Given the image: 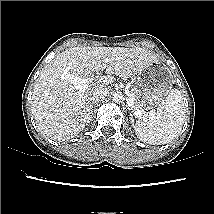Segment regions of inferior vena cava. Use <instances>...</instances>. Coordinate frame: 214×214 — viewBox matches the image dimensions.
<instances>
[{"instance_id": "602c4592", "label": "inferior vena cava", "mask_w": 214, "mask_h": 214, "mask_svg": "<svg viewBox=\"0 0 214 214\" xmlns=\"http://www.w3.org/2000/svg\"><path fill=\"white\" fill-rule=\"evenodd\" d=\"M108 94L107 87H99L97 88L90 96L91 102H99L104 99V97Z\"/></svg>"}]
</instances>
